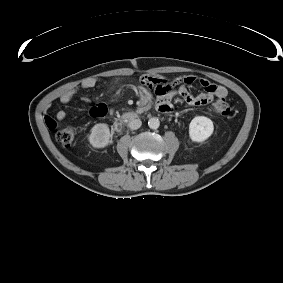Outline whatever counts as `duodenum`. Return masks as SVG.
Here are the masks:
<instances>
[{
	"label": "duodenum",
	"mask_w": 283,
	"mask_h": 283,
	"mask_svg": "<svg viewBox=\"0 0 283 283\" xmlns=\"http://www.w3.org/2000/svg\"><path fill=\"white\" fill-rule=\"evenodd\" d=\"M171 110H165V112L169 113ZM140 117V114L138 113H127L119 122V125L122 126L124 122L131 121L138 119Z\"/></svg>",
	"instance_id": "1"
}]
</instances>
